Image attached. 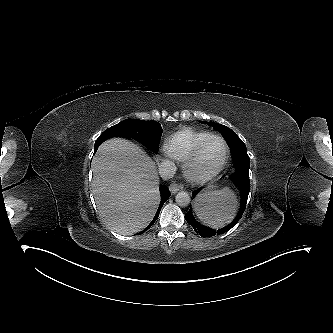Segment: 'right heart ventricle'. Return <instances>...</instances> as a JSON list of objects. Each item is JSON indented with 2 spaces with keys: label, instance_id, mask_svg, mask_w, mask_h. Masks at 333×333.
<instances>
[{
  "label": "right heart ventricle",
  "instance_id": "1",
  "mask_svg": "<svg viewBox=\"0 0 333 333\" xmlns=\"http://www.w3.org/2000/svg\"><path fill=\"white\" fill-rule=\"evenodd\" d=\"M209 135V132L202 130L181 129L168 137L166 142L167 151L173 158L185 161L195 147Z\"/></svg>",
  "mask_w": 333,
  "mask_h": 333
}]
</instances>
